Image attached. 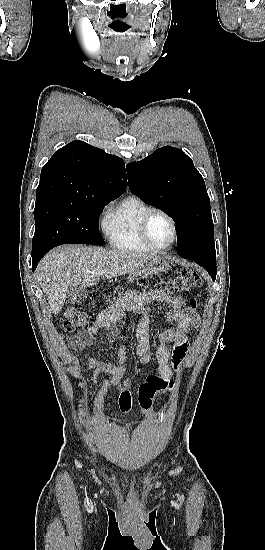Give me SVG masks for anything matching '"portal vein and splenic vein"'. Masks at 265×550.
<instances>
[{
  "label": "portal vein and splenic vein",
  "mask_w": 265,
  "mask_h": 550,
  "mask_svg": "<svg viewBox=\"0 0 265 550\" xmlns=\"http://www.w3.org/2000/svg\"><path fill=\"white\" fill-rule=\"evenodd\" d=\"M99 274H100V275H103V274H104V272H103V271H101V272H100Z\"/></svg>",
  "instance_id": "portal-vein-and-splenic-vein-1"
}]
</instances>
